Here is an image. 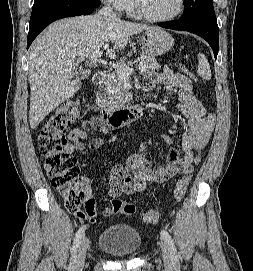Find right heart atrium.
I'll return each instance as SVG.
<instances>
[{
  "label": "right heart atrium",
  "instance_id": "right-heart-atrium-1",
  "mask_svg": "<svg viewBox=\"0 0 253 271\" xmlns=\"http://www.w3.org/2000/svg\"><path fill=\"white\" fill-rule=\"evenodd\" d=\"M108 5L117 11L125 9L128 0H104Z\"/></svg>",
  "mask_w": 253,
  "mask_h": 271
}]
</instances>
